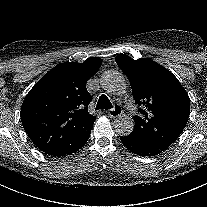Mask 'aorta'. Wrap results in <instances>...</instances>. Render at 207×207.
I'll use <instances>...</instances> for the list:
<instances>
[{
	"label": "aorta",
	"instance_id": "obj_1",
	"mask_svg": "<svg viewBox=\"0 0 207 207\" xmlns=\"http://www.w3.org/2000/svg\"><path fill=\"white\" fill-rule=\"evenodd\" d=\"M100 84L107 93L123 95L126 93L127 84L122 73L110 69L105 71L100 78ZM115 131L121 136L129 135L134 129L133 120L126 115H119L113 122Z\"/></svg>",
	"mask_w": 207,
	"mask_h": 207
}]
</instances>
